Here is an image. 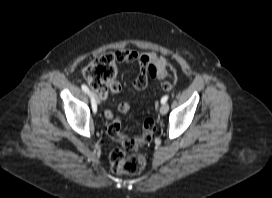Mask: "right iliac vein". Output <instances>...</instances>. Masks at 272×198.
Returning a JSON list of instances; mask_svg holds the SVG:
<instances>
[{
  "label": "right iliac vein",
  "mask_w": 272,
  "mask_h": 198,
  "mask_svg": "<svg viewBox=\"0 0 272 198\" xmlns=\"http://www.w3.org/2000/svg\"><path fill=\"white\" fill-rule=\"evenodd\" d=\"M91 96L93 97V99H94V101H95L96 103H99V102H100L97 95H95L94 93H91Z\"/></svg>",
  "instance_id": "obj_1"
}]
</instances>
